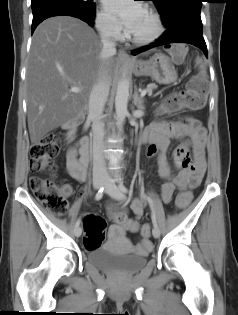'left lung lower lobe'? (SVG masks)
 <instances>
[{
    "mask_svg": "<svg viewBox=\"0 0 238 315\" xmlns=\"http://www.w3.org/2000/svg\"><path fill=\"white\" fill-rule=\"evenodd\" d=\"M200 12V7H188L179 10L172 18L163 22L167 30L156 42L136 49L132 54L137 55L161 45L169 47L170 43H189L199 47L205 56L208 57L206 43L203 38Z\"/></svg>",
    "mask_w": 238,
    "mask_h": 315,
    "instance_id": "obj_1",
    "label": "left lung lower lobe"
}]
</instances>
